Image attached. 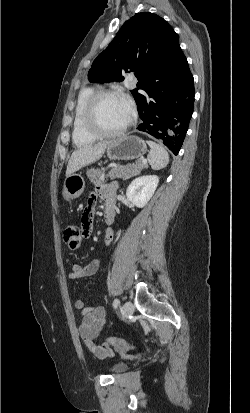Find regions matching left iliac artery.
I'll use <instances>...</instances> for the list:
<instances>
[{"instance_id":"obj_1","label":"left iliac artery","mask_w":250,"mask_h":413,"mask_svg":"<svg viewBox=\"0 0 250 413\" xmlns=\"http://www.w3.org/2000/svg\"><path fill=\"white\" fill-rule=\"evenodd\" d=\"M119 303H120V301H119V299H114V301H113V307L114 308H117L118 307V305H119Z\"/></svg>"}]
</instances>
